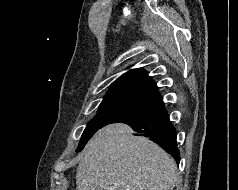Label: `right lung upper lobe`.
<instances>
[{"instance_id": "right-lung-upper-lobe-1", "label": "right lung upper lobe", "mask_w": 238, "mask_h": 190, "mask_svg": "<svg viewBox=\"0 0 238 190\" xmlns=\"http://www.w3.org/2000/svg\"><path fill=\"white\" fill-rule=\"evenodd\" d=\"M111 97H132L154 105L163 100L156 83L142 68L130 70L114 81L105 95Z\"/></svg>"}]
</instances>
